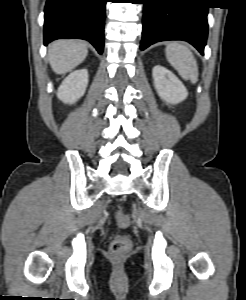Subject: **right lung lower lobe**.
<instances>
[{
	"instance_id": "obj_1",
	"label": "right lung lower lobe",
	"mask_w": 246,
	"mask_h": 300,
	"mask_svg": "<svg viewBox=\"0 0 246 300\" xmlns=\"http://www.w3.org/2000/svg\"><path fill=\"white\" fill-rule=\"evenodd\" d=\"M106 0H47L44 44L59 38L89 41L102 54Z\"/></svg>"
}]
</instances>
